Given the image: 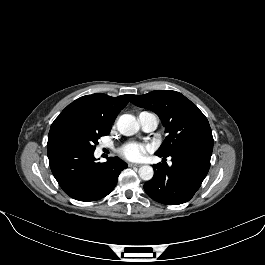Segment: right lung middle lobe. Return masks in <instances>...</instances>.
Listing matches in <instances>:
<instances>
[{"label":"right lung middle lobe","instance_id":"1","mask_svg":"<svg viewBox=\"0 0 265 265\" xmlns=\"http://www.w3.org/2000/svg\"><path fill=\"white\" fill-rule=\"evenodd\" d=\"M109 132L79 122H66L49 132L47 147L67 145L94 151L100 137Z\"/></svg>","mask_w":265,"mask_h":265}]
</instances>
